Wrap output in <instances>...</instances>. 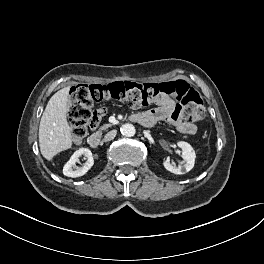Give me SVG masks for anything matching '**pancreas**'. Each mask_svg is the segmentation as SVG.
I'll list each match as a JSON object with an SVG mask.
<instances>
[{
    "mask_svg": "<svg viewBox=\"0 0 264 264\" xmlns=\"http://www.w3.org/2000/svg\"><path fill=\"white\" fill-rule=\"evenodd\" d=\"M112 126V124H105V125H103V126H101L100 127V131H102V130H107L109 127H111Z\"/></svg>",
    "mask_w": 264,
    "mask_h": 264,
    "instance_id": "1",
    "label": "pancreas"
}]
</instances>
